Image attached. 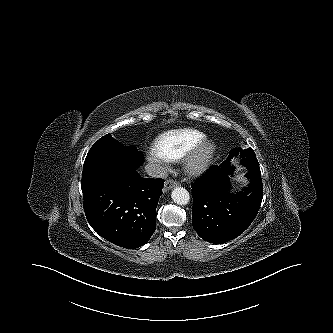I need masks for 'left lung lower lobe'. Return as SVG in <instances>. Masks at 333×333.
Returning a JSON list of instances; mask_svg holds the SVG:
<instances>
[{"label": "left lung lower lobe", "instance_id": "1", "mask_svg": "<svg viewBox=\"0 0 333 333\" xmlns=\"http://www.w3.org/2000/svg\"><path fill=\"white\" fill-rule=\"evenodd\" d=\"M242 162L252 155L240 152ZM231 158L220 166H212L191 184L194 205L193 228L207 242L222 244L241 235L255 219L263 198L261 175L248 172L250 184L244 192L231 194L229 175L233 172Z\"/></svg>", "mask_w": 333, "mask_h": 333}]
</instances>
